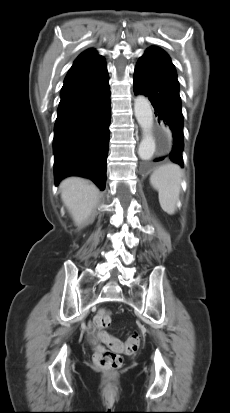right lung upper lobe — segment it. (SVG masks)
Returning <instances> with one entry per match:
<instances>
[{"label":"right lung upper lobe","mask_w":230,"mask_h":413,"mask_svg":"<svg viewBox=\"0 0 230 413\" xmlns=\"http://www.w3.org/2000/svg\"><path fill=\"white\" fill-rule=\"evenodd\" d=\"M104 68H106L104 57L99 55L94 49H87L75 60L64 83L83 79L102 71Z\"/></svg>","instance_id":"obj_1"}]
</instances>
